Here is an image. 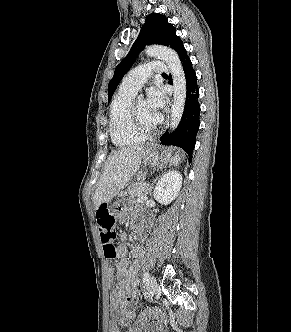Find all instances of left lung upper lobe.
Masks as SVG:
<instances>
[{
  "mask_svg": "<svg viewBox=\"0 0 291 332\" xmlns=\"http://www.w3.org/2000/svg\"><path fill=\"white\" fill-rule=\"evenodd\" d=\"M149 44H161L173 48L179 55L184 48L181 39L176 35L174 26L159 13L147 16L141 31L127 56L115 68L114 76L108 86V102L126 72L132 67L138 54Z\"/></svg>",
  "mask_w": 291,
  "mask_h": 332,
  "instance_id": "left-lung-upper-lobe-1",
  "label": "left lung upper lobe"
}]
</instances>
